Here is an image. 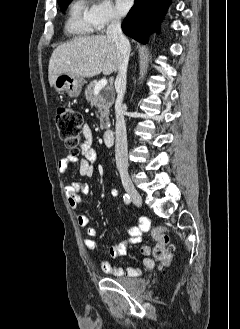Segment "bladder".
<instances>
[{"mask_svg":"<svg viewBox=\"0 0 240 329\" xmlns=\"http://www.w3.org/2000/svg\"><path fill=\"white\" fill-rule=\"evenodd\" d=\"M115 280L118 284L127 289L144 290L146 288V281L143 279L121 277Z\"/></svg>","mask_w":240,"mask_h":329,"instance_id":"31cf9c89","label":"bladder"}]
</instances>
